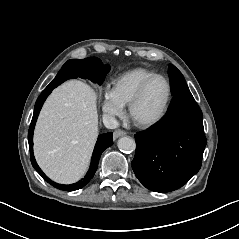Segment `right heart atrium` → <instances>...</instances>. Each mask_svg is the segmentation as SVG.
I'll list each match as a JSON object with an SVG mask.
<instances>
[{
	"instance_id": "1",
	"label": "right heart atrium",
	"mask_w": 239,
	"mask_h": 239,
	"mask_svg": "<svg viewBox=\"0 0 239 239\" xmlns=\"http://www.w3.org/2000/svg\"><path fill=\"white\" fill-rule=\"evenodd\" d=\"M102 111L108 117L119 116L123 111V106L108 89H104L102 92Z\"/></svg>"
}]
</instances>
